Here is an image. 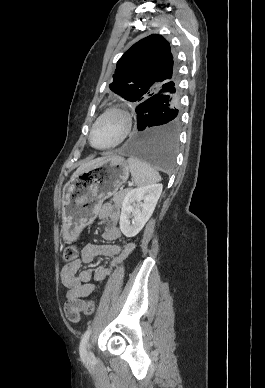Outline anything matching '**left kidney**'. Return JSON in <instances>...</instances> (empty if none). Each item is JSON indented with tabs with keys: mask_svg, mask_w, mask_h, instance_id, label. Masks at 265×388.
I'll use <instances>...</instances> for the list:
<instances>
[{
	"mask_svg": "<svg viewBox=\"0 0 265 388\" xmlns=\"http://www.w3.org/2000/svg\"><path fill=\"white\" fill-rule=\"evenodd\" d=\"M162 188V184H151V186H142L127 192L120 216V230L126 238H134L144 228L155 210ZM131 216H134L132 226Z\"/></svg>",
	"mask_w": 265,
	"mask_h": 388,
	"instance_id": "1",
	"label": "left kidney"
}]
</instances>
